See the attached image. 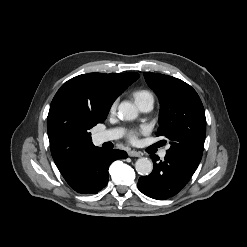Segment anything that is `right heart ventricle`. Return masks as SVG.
Wrapping results in <instances>:
<instances>
[{"mask_svg":"<svg viewBox=\"0 0 247 247\" xmlns=\"http://www.w3.org/2000/svg\"><path fill=\"white\" fill-rule=\"evenodd\" d=\"M133 98L136 104L149 100L153 102V96L148 90L139 89L133 92Z\"/></svg>","mask_w":247,"mask_h":247,"instance_id":"1","label":"right heart ventricle"}]
</instances>
